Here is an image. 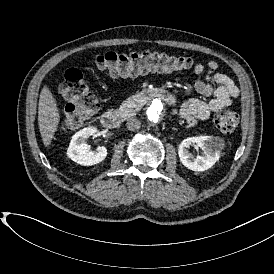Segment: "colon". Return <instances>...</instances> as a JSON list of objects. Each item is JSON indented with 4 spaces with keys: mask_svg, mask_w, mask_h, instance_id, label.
Wrapping results in <instances>:
<instances>
[{
    "mask_svg": "<svg viewBox=\"0 0 274 274\" xmlns=\"http://www.w3.org/2000/svg\"><path fill=\"white\" fill-rule=\"evenodd\" d=\"M193 59L157 50H131L128 52H105L96 57L91 66L115 77L135 76L144 72H177L191 68ZM60 92L67 101L62 109V122L66 126L78 127L88 113H95L98 100L77 67L66 69L60 83ZM239 124L233 111H219L215 125L221 133L233 132Z\"/></svg>",
    "mask_w": 274,
    "mask_h": 274,
    "instance_id": "obj_1",
    "label": "colon"
}]
</instances>
